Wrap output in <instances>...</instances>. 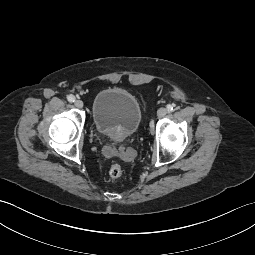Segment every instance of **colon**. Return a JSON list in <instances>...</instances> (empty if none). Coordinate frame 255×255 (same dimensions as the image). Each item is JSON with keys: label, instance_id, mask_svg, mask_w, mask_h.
<instances>
[{"label": "colon", "instance_id": "1", "mask_svg": "<svg viewBox=\"0 0 255 255\" xmlns=\"http://www.w3.org/2000/svg\"><path fill=\"white\" fill-rule=\"evenodd\" d=\"M122 174H123V169H122L121 165L112 164L109 167L108 175L110 176V178L117 179V178L121 177Z\"/></svg>", "mask_w": 255, "mask_h": 255}]
</instances>
